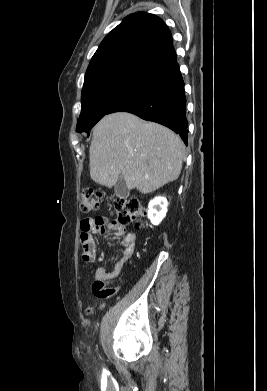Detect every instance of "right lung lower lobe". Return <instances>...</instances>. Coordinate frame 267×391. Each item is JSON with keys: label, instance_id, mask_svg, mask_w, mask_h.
<instances>
[{"label": "right lung lower lobe", "instance_id": "98d812e1", "mask_svg": "<svg viewBox=\"0 0 267 391\" xmlns=\"http://www.w3.org/2000/svg\"><path fill=\"white\" fill-rule=\"evenodd\" d=\"M120 111L172 129L187 145L186 97L177 60L153 72L143 85L116 104L109 113Z\"/></svg>", "mask_w": 267, "mask_h": 391}]
</instances>
